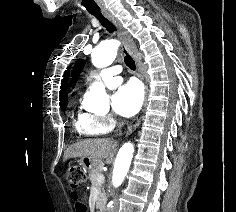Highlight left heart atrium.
Returning <instances> with one entry per match:
<instances>
[{
    "label": "left heart atrium",
    "mask_w": 236,
    "mask_h": 212,
    "mask_svg": "<svg viewBox=\"0 0 236 212\" xmlns=\"http://www.w3.org/2000/svg\"><path fill=\"white\" fill-rule=\"evenodd\" d=\"M144 93L141 85L131 81L120 87L112 97L113 110L124 117L135 115L143 104Z\"/></svg>",
    "instance_id": "obj_1"
}]
</instances>
